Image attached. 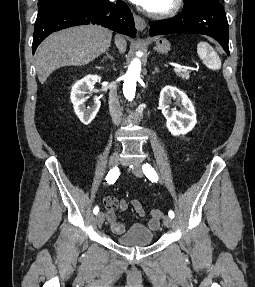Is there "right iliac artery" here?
Returning a JSON list of instances; mask_svg holds the SVG:
<instances>
[{
	"label": "right iliac artery",
	"mask_w": 255,
	"mask_h": 287,
	"mask_svg": "<svg viewBox=\"0 0 255 287\" xmlns=\"http://www.w3.org/2000/svg\"><path fill=\"white\" fill-rule=\"evenodd\" d=\"M119 176V169L117 167L112 168L106 176V182L108 184H114L115 181L118 179ZM94 214L99 212L98 206H96L93 210Z\"/></svg>",
	"instance_id": "1"
}]
</instances>
